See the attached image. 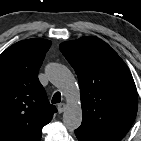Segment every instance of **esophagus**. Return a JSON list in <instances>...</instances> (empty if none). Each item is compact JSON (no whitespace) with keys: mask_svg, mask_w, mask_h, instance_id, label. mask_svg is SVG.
Here are the masks:
<instances>
[{"mask_svg":"<svg viewBox=\"0 0 141 141\" xmlns=\"http://www.w3.org/2000/svg\"><path fill=\"white\" fill-rule=\"evenodd\" d=\"M57 109L59 113H63L66 109V104L65 103L58 104Z\"/></svg>","mask_w":141,"mask_h":141,"instance_id":"34e87169","label":"esophagus"}]
</instances>
